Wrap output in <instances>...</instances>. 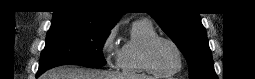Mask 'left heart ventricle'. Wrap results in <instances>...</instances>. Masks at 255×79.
Here are the masks:
<instances>
[{"mask_svg": "<svg viewBox=\"0 0 255 79\" xmlns=\"http://www.w3.org/2000/svg\"><path fill=\"white\" fill-rule=\"evenodd\" d=\"M152 63L162 71H172L177 68L179 57L173 46L165 41L155 44L151 52Z\"/></svg>", "mask_w": 255, "mask_h": 79, "instance_id": "obj_1", "label": "left heart ventricle"}]
</instances>
